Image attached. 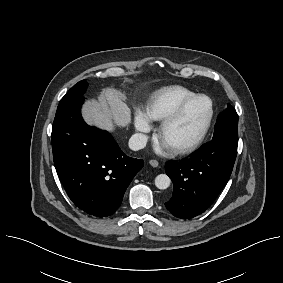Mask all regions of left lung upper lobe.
I'll list each match as a JSON object with an SVG mask.
<instances>
[{
  "label": "left lung upper lobe",
  "mask_w": 283,
  "mask_h": 283,
  "mask_svg": "<svg viewBox=\"0 0 283 283\" xmlns=\"http://www.w3.org/2000/svg\"><path fill=\"white\" fill-rule=\"evenodd\" d=\"M212 140L222 141L237 148L238 115L232 106L228 105V108L217 118Z\"/></svg>",
  "instance_id": "5c2ea615"
}]
</instances>
